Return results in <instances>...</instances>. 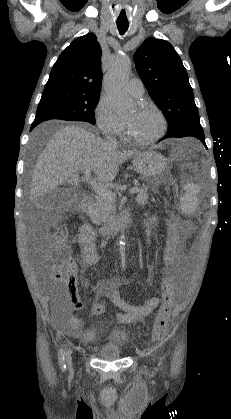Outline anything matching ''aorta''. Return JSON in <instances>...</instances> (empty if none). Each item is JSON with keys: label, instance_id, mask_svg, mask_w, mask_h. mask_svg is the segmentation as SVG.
<instances>
[{"label": "aorta", "instance_id": "762f6f07", "mask_svg": "<svg viewBox=\"0 0 231 419\" xmlns=\"http://www.w3.org/2000/svg\"><path fill=\"white\" fill-rule=\"evenodd\" d=\"M131 71V60L127 56H120L105 76V91L108 94L113 108L121 113L130 107V100L126 93V83ZM119 254L122 261L126 256V243L121 240L119 243Z\"/></svg>", "mask_w": 231, "mask_h": 419}]
</instances>
